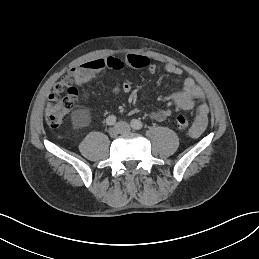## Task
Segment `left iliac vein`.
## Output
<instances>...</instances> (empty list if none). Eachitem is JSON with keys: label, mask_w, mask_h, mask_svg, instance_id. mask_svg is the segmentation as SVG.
I'll return each instance as SVG.
<instances>
[{"label": "left iliac vein", "mask_w": 259, "mask_h": 259, "mask_svg": "<svg viewBox=\"0 0 259 259\" xmlns=\"http://www.w3.org/2000/svg\"><path fill=\"white\" fill-rule=\"evenodd\" d=\"M116 127L119 129V132L121 134H127V133H130L131 131L130 125L126 122H118L116 124Z\"/></svg>", "instance_id": "1"}]
</instances>
